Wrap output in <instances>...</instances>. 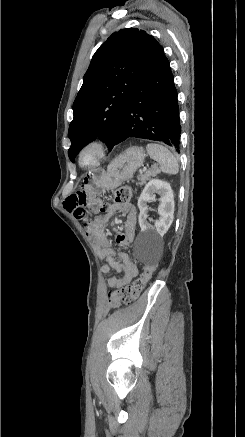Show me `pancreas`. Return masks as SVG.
<instances>
[{"label":"pancreas","instance_id":"pancreas-1","mask_svg":"<svg viewBox=\"0 0 245 437\" xmlns=\"http://www.w3.org/2000/svg\"><path fill=\"white\" fill-rule=\"evenodd\" d=\"M159 173H160V171L156 167H153L152 169L147 170L144 174H140L138 176V180H139L138 184L140 186L146 184V182L148 180H150L152 177H155Z\"/></svg>","mask_w":245,"mask_h":437}]
</instances>
